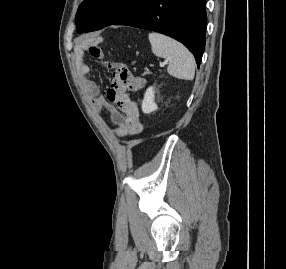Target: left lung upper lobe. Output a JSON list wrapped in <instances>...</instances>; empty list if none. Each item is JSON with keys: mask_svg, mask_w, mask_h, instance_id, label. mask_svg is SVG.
Segmentation results:
<instances>
[{"mask_svg": "<svg viewBox=\"0 0 286 269\" xmlns=\"http://www.w3.org/2000/svg\"><path fill=\"white\" fill-rule=\"evenodd\" d=\"M143 0H84L76 13L78 32H90L109 26L130 11Z\"/></svg>", "mask_w": 286, "mask_h": 269, "instance_id": "1", "label": "left lung upper lobe"}]
</instances>
